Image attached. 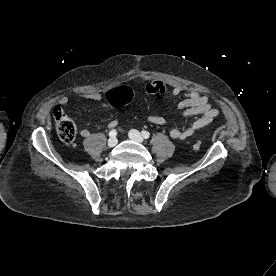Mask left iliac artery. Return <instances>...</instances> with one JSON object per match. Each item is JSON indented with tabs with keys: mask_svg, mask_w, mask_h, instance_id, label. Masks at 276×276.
I'll list each match as a JSON object with an SVG mask.
<instances>
[{
	"mask_svg": "<svg viewBox=\"0 0 276 276\" xmlns=\"http://www.w3.org/2000/svg\"><path fill=\"white\" fill-rule=\"evenodd\" d=\"M142 136H143L145 139H148L149 136H150V133H149L148 131L143 130V131H142Z\"/></svg>",
	"mask_w": 276,
	"mask_h": 276,
	"instance_id": "obj_1",
	"label": "left iliac artery"
}]
</instances>
